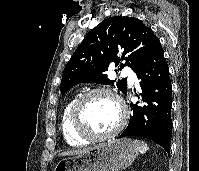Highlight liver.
<instances>
[{"instance_id":"1","label":"liver","mask_w":199,"mask_h":171,"mask_svg":"<svg viewBox=\"0 0 199 171\" xmlns=\"http://www.w3.org/2000/svg\"><path fill=\"white\" fill-rule=\"evenodd\" d=\"M91 148L88 149H83V150H73V151H67V152H63L60 155L62 156H68V155H80L83 154L85 152H87L88 150H90Z\"/></svg>"}]
</instances>
